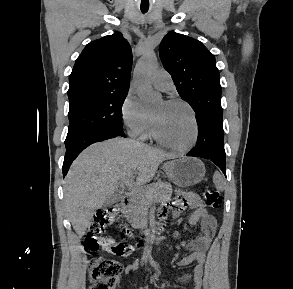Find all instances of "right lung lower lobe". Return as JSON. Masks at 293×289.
I'll return each mask as SVG.
<instances>
[{"label":"right lung lower lobe","mask_w":293,"mask_h":289,"mask_svg":"<svg viewBox=\"0 0 293 289\" xmlns=\"http://www.w3.org/2000/svg\"><path fill=\"white\" fill-rule=\"evenodd\" d=\"M117 136L125 137L124 131L121 128H104L100 130H96L85 134L81 137H78L72 140L69 143H66V154L63 163V176H65L69 170L70 165L73 160L77 157L79 153H81L86 147L89 145L100 142L103 140H107L110 138H115Z\"/></svg>","instance_id":"98d812e1"}]
</instances>
